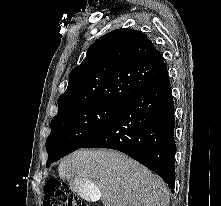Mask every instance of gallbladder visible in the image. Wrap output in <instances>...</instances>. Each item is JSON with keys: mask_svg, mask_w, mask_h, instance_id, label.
Masks as SVG:
<instances>
[{"mask_svg": "<svg viewBox=\"0 0 221 206\" xmlns=\"http://www.w3.org/2000/svg\"><path fill=\"white\" fill-rule=\"evenodd\" d=\"M73 189L79 198H84L85 202H98L100 190L98 185H92V181H73Z\"/></svg>", "mask_w": 221, "mask_h": 206, "instance_id": "1", "label": "gallbladder"}]
</instances>
